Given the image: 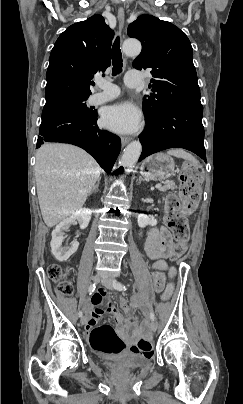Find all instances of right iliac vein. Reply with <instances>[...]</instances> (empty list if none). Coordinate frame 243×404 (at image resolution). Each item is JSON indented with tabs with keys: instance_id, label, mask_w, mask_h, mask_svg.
Masks as SVG:
<instances>
[{
	"instance_id": "right-iliac-vein-1",
	"label": "right iliac vein",
	"mask_w": 243,
	"mask_h": 404,
	"mask_svg": "<svg viewBox=\"0 0 243 404\" xmlns=\"http://www.w3.org/2000/svg\"><path fill=\"white\" fill-rule=\"evenodd\" d=\"M100 279H101V276H100L99 274H97V275H95V276L93 277V282H94V283H98V282L100 281ZM80 322H81L82 325H84V324L86 323V317L83 316V317L81 318Z\"/></svg>"
}]
</instances>
